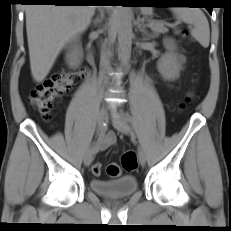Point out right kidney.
Listing matches in <instances>:
<instances>
[{"instance_id": "right-kidney-1", "label": "right kidney", "mask_w": 231, "mask_h": 231, "mask_svg": "<svg viewBox=\"0 0 231 231\" xmlns=\"http://www.w3.org/2000/svg\"><path fill=\"white\" fill-rule=\"evenodd\" d=\"M82 50L79 43H75L67 52L66 60L70 67H78L82 62Z\"/></svg>"}]
</instances>
